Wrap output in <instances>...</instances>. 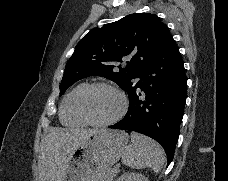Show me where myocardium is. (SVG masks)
Masks as SVG:
<instances>
[{
    "label": "myocardium",
    "instance_id": "myocardium-1",
    "mask_svg": "<svg viewBox=\"0 0 228 181\" xmlns=\"http://www.w3.org/2000/svg\"><path fill=\"white\" fill-rule=\"evenodd\" d=\"M98 87H102V88H108L113 90L119 97L120 99V106L118 108V110L109 118L100 120V121H95V120H91L89 119L83 109V98L86 95V93L94 88H98ZM128 108V101L127 98L125 96V94L123 93L122 90H120L117 86H115L112 83L109 82H94L88 86H86L83 91L80 93V95L78 96L77 99V103H76V109H77V113L79 115V117L86 123H88L89 125L92 126H107L110 125L116 121H118L119 119H121L124 114L126 113Z\"/></svg>",
    "mask_w": 228,
    "mask_h": 181
}]
</instances>
